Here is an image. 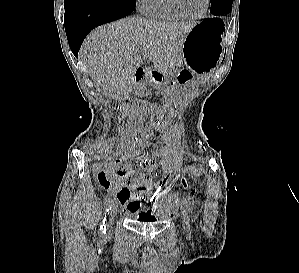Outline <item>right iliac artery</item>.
<instances>
[{"instance_id": "82829eb1", "label": "right iliac artery", "mask_w": 299, "mask_h": 273, "mask_svg": "<svg viewBox=\"0 0 299 273\" xmlns=\"http://www.w3.org/2000/svg\"><path fill=\"white\" fill-rule=\"evenodd\" d=\"M113 205V200L112 199H108L105 201V211L108 212L111 209V206ZM106 231V226H105V218L103 220V224L100 227L99 230V235L102 237L105 234Z\"/></svg>"}]
</instances>
